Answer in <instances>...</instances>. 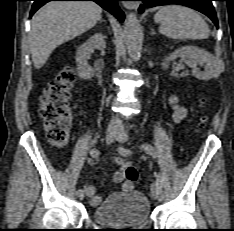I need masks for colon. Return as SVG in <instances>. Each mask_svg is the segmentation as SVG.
<instances>
[{"label": "colon", "instance_id": "obj_1", "mask_svg": "<svg viewBox=\"0 0 234 231\" xmlns=\"http://www.w3.org/2000/svg\"><path fill=\"white\" fill-rule=\"evenodd\" d=\"M75 81L72 67L61 69L56 78L45 88L40 102V114L44 122L48 141L62 147L69 140V126L72 120L70 106L71 89ZM137 171L128 161H121L119 170L114 175L116 182L124 180L134 182Z\"/></svg>", "mask_w": 234, "mask_h": 231}]
</instances>
